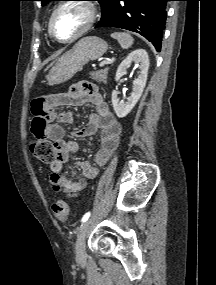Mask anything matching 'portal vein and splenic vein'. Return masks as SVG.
<instances>
[{"label":"portal vein and splenic vein","mask_w":216,"mask_h":285,"mask_svg":"<svg viewBox=\"0 0 216 285\" xmlns=\"http://www.w3.org/2000/svg\"><path fill=\"white\" fill-rule=\"evenodd\" d=\"M109 64V62H101L100 67H103L104 65Z\"/></svg>","instance_id":"1"}]
</instances>
